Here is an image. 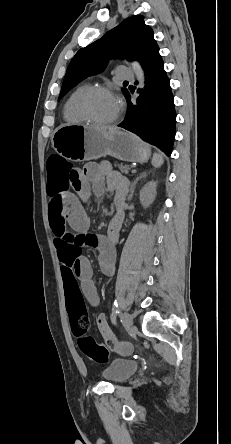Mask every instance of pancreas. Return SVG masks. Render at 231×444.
Returning a JSON list of instances; mask_svg holds the SVG:
<instances>
[{
  "label": "pancreas",
  "instance_id": "pancreas-1",
  "mask_svg": "<svg viewBox=\"0 0 231 444\" xmlns=\"http://www.w3.org/2000/svg\"><path fill=\"white\" fill-rule=\"evenodd\" d=\"M114 166L118 167L119 170L123 173H128V171H129V167L126 165H123L122 163H115Z\"/></svg>",
  "mask_w": 231,
  "mask_h": 444
}]
</instances>
